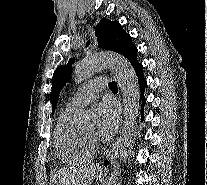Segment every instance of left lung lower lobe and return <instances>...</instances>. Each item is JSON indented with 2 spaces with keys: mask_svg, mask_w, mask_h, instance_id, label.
I'll use <instances>...</instances> for the list:
<instances>
[{
  "mask_svg": "<svg viewBox=\"0 0 207 185\" xmlns=\"http://www.w3.org/2000/svg\"><path fill=\"white\" fill-rule=\"evenodd\" d=\"M134 69H135V72L137 74L139 85H140L141 98H142V110H143L144 104L146 102V100H145V98L143 96L144 89L146 87V80H145V78L143 76V66L141 64H139L136 67H134ZM141 118L143 120V112H142V117Z\"/></svg>",
  "mask_w": 207,
  "mask_h": 185,
  "instance_id": "1",
  "label": "left lung lower lobe"
}]
</instances>
